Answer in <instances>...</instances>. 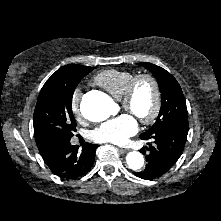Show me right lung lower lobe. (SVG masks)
I'll use <instances>...</instances> for the list:
<instances>
[{"instance_id":"1","label":"right lung lower lobe","mask_w":221,"mask_h":221,"mask_svg":"<svg viewBox=\"0 0 221 221\" xmlns=\"http://www.w3.org/2000/svg\"><path fill=\"white\" fill-rule=\"evenodd\" d=\"M37 147L54 174L62 179H74L91 169L97 145L85 143L79 150V146L71 145L70 139H63L48 140Z\"/></svg>"}]
</instances>
